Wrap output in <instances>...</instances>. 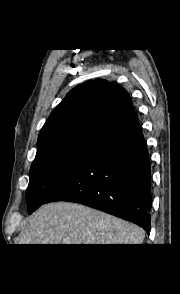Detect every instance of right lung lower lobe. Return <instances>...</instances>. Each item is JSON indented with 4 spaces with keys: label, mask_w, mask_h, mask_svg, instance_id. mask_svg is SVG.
<instances>
[{
    "label": "right lung lower lobe",
    "mask_w": 180,
    "mask_h": 294,
    "mask_svg": "<svg viewBox=\"0 0 180 294\" xmlns=\"http://www.w3.org/2000/svg\"><path fill=\"white\" fill-rule=\"evenodd\" d=\"M151 168L136 113L102 138L72 175L46 200L81 203L150 233Z\"/></svg>",
    "instance_id": "98d812e1"
}]
</instances>
